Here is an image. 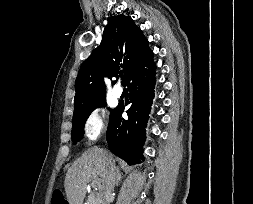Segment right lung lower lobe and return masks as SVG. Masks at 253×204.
<instances>
[{
	"mask_svg": "<svg viewBox=\"0 0 253 204\" xmlns=\"http://www.w3.org/2000/svg\"><path fill=\"white\" fill-rule=\"evenodd\" d=\"M155 82V63L150 50L124 83L130 91V101L119 103L110 116L106 133L109 148L129 165L135 164L139 157L144 159L141 149L146 138L145 127L154 98ZM128 104H131L126 111L128 119H123L121 114Z\"/></svg>",
	"mask_w": 253,
	"mask_h": 204,
	"instance_id": "1",
	"label": "right lung lower lobe"
}]
</instances>
